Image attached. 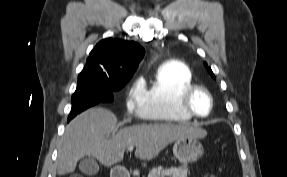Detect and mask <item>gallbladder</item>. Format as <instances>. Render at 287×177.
I'll list each match as a JSON object with an SVG mask.
<instances>
[{
  "instance_id": "gallbladder-1",
  "label": "gallbladder",
  "mask_w": 287,
  "mask_h": 177,
  "mask_svg": "<svg viewBox=\"0 0 287 177\" xmlns=\"http://www.w3.org/2000/svg\"><path fill=\"white\" fill-rule=\"evenodd\" d=\"M79 169L83 174L87 176H92L98 173L99 166L94 158L85 157L80 161Z\"/></svg>"
}]
</instances>
